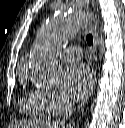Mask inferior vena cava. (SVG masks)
Listing matches in <instances>:
<instances>
[{
  "label": "inferior vena cava",
  "instance_id": "602c4592",
  "mask_svg": "<svg viewBox=\"0 0 125 128\" xmlns=\"http://www.w3.org/2000/svg\"><path fill=\"white\" fill-rule=\"evenodd\" d=\"M73 110H74V106L71 103L68 102L65 104V116H64L63 121L65 120V118L67 119L68 116L71 115Z\"/></svg>",
  "mask_w": 125,
  "mask_h": 128
}]
</instances>
